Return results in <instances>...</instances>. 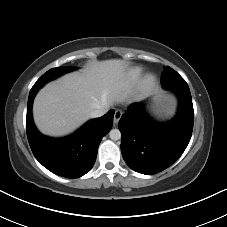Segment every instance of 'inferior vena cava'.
Returning <instances> with one entry per match:
<instances>
[{
    "label": "inferior vena cava",
    "instance_id": "1",
    "mask_svg": "<svg viewBox=\"0 0 227 227\" xmlns=\"http://www.w3.org/2000/svg\"><path fill=\"white\" fill-rule=\"evenodd\" d=\"M108 106H103L101 108H98L96 110H93L91 113H90V117L91 118H98V117H101L103 116L107 111H108Z\"/></svg>",
    "mask_w": 227,
    "mask_h": 227
}]
</instances>
